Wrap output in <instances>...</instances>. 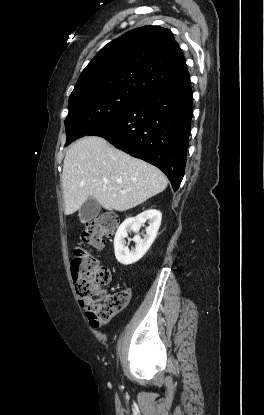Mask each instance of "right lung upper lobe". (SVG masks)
Segmentation results:
<instances>
[{
	"label": "right lung upper lobe",
	"mask_w": 264,
	"mask_h": 415,
	"mask_svg": "<svg viewBox=\"0 0 264 415\" xmlns=\"http://www.w3.org/2000/svg\"><path fill=\"white\" fill-rule=\"evenodd\" d=\"M169 29L144 26L111 41L85 67L69 99L111 91L140 97L188 78Z\"/></svg>",
	"instance_id": "cb5924a9"
}]
</instances>
